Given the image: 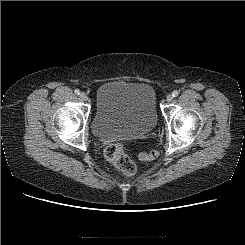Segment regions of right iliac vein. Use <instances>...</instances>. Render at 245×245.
I'll return each mask as SVG.
<instances>
[{
    "instance_id": "obj_1",
    "label": "right iliac vein",
    "mask_w": 245,
    "mask_h": 245,
    "mask_svg": "<svg viewBox=\"0 0 245 245\" xmlns=\"http://www.w3.org/2000/svg\"><path fill=\"white\" fill-rule=\"evenodd\" d=\"M80 98L82 99V100H87V94L86 93H84V92H82L81 94H80Z\"/></svg>"
}]
</instances>
